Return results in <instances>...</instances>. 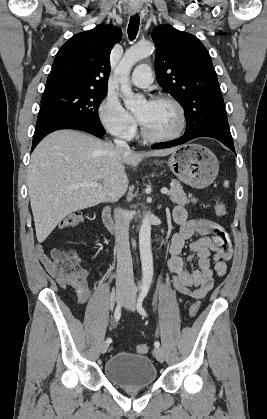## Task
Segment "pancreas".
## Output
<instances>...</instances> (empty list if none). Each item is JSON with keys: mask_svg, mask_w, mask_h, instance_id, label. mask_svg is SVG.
I'll list each match as a JSON object with an SVG mask.
<instances>
[{"mask_svg": "<svg viewBox=\"0 0 267 419\" xmlns=\"http://www.w3.org/2000/svg\"><path fill=\"white\" fill-rule=\"evenodd\" d=\"M170 200L175 204L185 205L190 202L196 203L197 199L193 198L191 194L188 195V198L183 191L182 186L177 180L171 181V189L168 193Z\"/></svg>", "mask_w": 267, "mask_h": 419, "instance_id": "cf45deb5", "label": "pancreas"}]
</instances>
